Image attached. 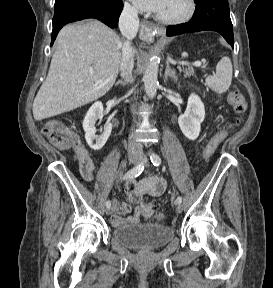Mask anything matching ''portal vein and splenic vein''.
<instances>
[{
	"label": "portal vein and splenic vein",
	"mask_w": 273,
	"mask_h": 288,
	"mask_svg": "<svg viewBox=\"0 0 273 288\" xmlns=\"http://www.w3.org/2000/svg\"><path fill=\"white\" fill-rule=\"evenodd\" d=\"M180 65H191V66H195V67H200L201 66V62L200 61H197V62H194L192 64H189L188 62H179ZM99 84H102V81H98Z\"/></svg>",
	"instance_id": "18ae733b"
}]
</instances>
